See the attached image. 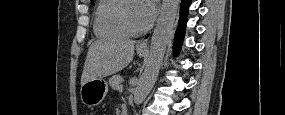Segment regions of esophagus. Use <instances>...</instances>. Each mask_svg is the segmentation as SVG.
Wrapping results in <instances>:
<instances>
[{
  "instance_id": "34e87169",
  "label": "esophagus",
  "mask_w": 285,
  "mask_h": 115,
  "mask_svg": "<svg viewBox=\"0 0 285 115\" xmlns=\"http://www.w3.org/2000/svg\"><path fill=\"white\" fill-rule=\"evenodd\" d=\"M137 47L142 48V49H146L147 48V41L138 42Z\"/></svg>"
}]
</instances>
